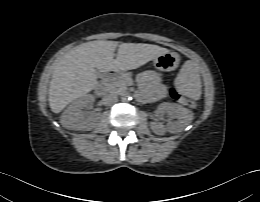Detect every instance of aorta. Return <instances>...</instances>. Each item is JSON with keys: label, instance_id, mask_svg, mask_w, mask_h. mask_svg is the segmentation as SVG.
Returning a JSON list of instances; mask_svg holds the SVG:
<instances>
[{"label": "aorta", "instance_id": "aorta-1", "mask_svg": "<svg viewBox=\"0 0 260 202\" xmlns=\"http://www.w3.org/2000/svg\"><path fill=\"white\" fill-rule=\"evenodd\" d=\"M121 100L123 102H127V101H130L132 100V97L129 95V93L125 92L121 95Z\"/></svg>", "mask_w": 260, "mask_h": 202}]
</instances>
